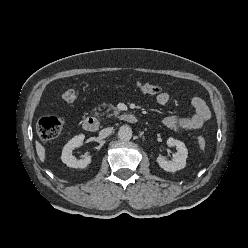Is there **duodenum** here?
<instances>
[{"label": "duodenum", "mask_w": 248, "mask_h": 248, "mask_svg": "<svg viewBox=\"0 0 248 248\" xmlns=\"http://www.w3.org/2000/svg\"><path fill=\"white\" fill-rule=\"evenodd\" d=\"M117 120L134 124L138 121V117L131 113H121L117 116ZM100 126L101 120L96 116H89L82 123V128L86 132H95L100 128Z\"/></svg>", "instance_id": "410a0bca"}]
</instances>
